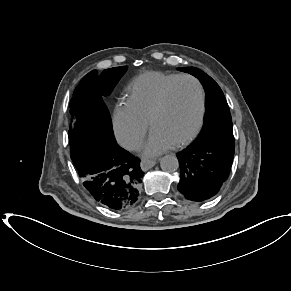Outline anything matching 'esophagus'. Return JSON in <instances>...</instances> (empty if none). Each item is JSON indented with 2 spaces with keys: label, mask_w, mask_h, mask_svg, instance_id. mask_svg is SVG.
Here are the masks:
<instances>
[{
  "label": "esophagus",
  "mask_w": 291,
  "mask_h": 291,
  "mask_svg": "<svg viewBox=\"0 0 291 291\" xmlns=\"http://www.w3.org/2000/svg\"><path fill=\"white\" fill-rule=\"evenodd\" d=\"M157 163V160H148V159H143L141 161V168L143 170H148L150 168H152L153 166H155V164Z\"/></svg>",
  "instance_id": "1"
}]
</instances>
